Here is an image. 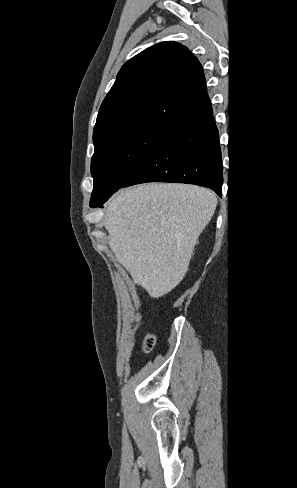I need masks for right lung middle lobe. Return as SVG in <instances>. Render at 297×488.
Returning <instances> with one entry per match:
<instances>
[{
    "mask_svg": "<svg viewBox=\"0 0 297 488\" xmlns=\"http://www.w3.org/2000/svg\"><path fill=\"white\" fill-rule=\"evenodd\" d=\"M170 128L143 125L120 131L95 144L91 160L94 178L90 207H98L136 172Z\"/></svg>",
    "mask_w": 297,
    "mask_h": 488,
    "instance_id": "right-lung-middle-lobe-1",
    "label": "right lung middle lobe"
}]
</instances>
